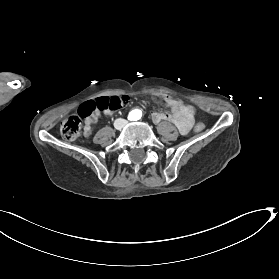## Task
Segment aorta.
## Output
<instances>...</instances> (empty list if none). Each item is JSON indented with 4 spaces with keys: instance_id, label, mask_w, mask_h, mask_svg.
I'll list each match as a JSON object with an SVG mask.
<instances>
[{
    "instance_id": "762f6f07",
    "label": "aorta",
    "mask_w": 279,
    "mask_h": 279,
    "mask_svg": "<svg viewBox=\"0 0 279 279\" xmlns=\"http://www.w3.org/2000/svg\"><path fill=\"white\" fill-rule=\"evenodd\" d=\"M136 112H139V111H137V110H136V111H134V113H136Z\"/></svg>"
}]
</instances>
